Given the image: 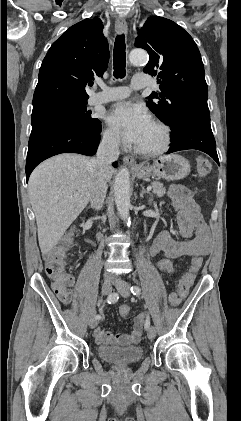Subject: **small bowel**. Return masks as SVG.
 I'll list each match as a JSON object with an SVG mask.
<instances>
[{
    "label": "small bowel",
    "instance_id": "small-bowel-1",
    "mask_svg": "<svg viewBox=\"0 0 241 421\" xmlns=\"http://www.w3.org/2000/svg\"><path fill=\"white\" fill-rule=\"evenodd\" d=\"M168 195L178 211V227L185 240L176 241L169 232L162 231L154 238L149 248V254L151 256L162 254L172 259L207 255L211 248L210 231L191 191L184 186L173 185L169 188ZM72 285L73 282L58 289L53 287L58 299L65 305L70 304L73 300ZM181 301L182 299L175 292L170 294L169 302L172 306L179 305ZM144 321V314L136 316L130 333H111L97 327L94 331L95 340L98 344L123 346L137 344L141 339Z\"/></svg>",
    "mask_w": 241,
    "mask_h": 421
}]
</instances>
